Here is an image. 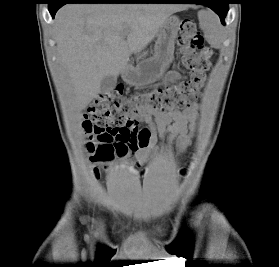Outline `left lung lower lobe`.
I'll list each match as a JSON object with an SVG mask.
<instances>
[{"label":"left lung lower lobe","instance_id":"0a47b994","mask_svg":"<svg viewBox=\"0 0 279 267\" xmlns=\"http://www.w3.org/2000/svg\"><path fill=\"white\" fill-rule=\"evenodd\" d=\"M159 3H196L203 4L216 12L221 22L224 24L225 16L228 12L229 0H161Z\"/></svg>","mask_w":279,"mask_h":267}]
</instances>
